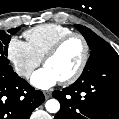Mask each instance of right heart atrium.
I'll list each match as a JSON object with an SVG mask.
<instances>
[{
  "label": "right heart atrium",
  "mask_w": 119,
  "mask_h": 119,
  "mask_svg": "<svg viewBox=\"0 0 119 119\" xmlns=\"http://www.w3.org/2000/svg\"><path fill=\"white\" fill-rule=\"evenodd\" d=\"M7 56L17 75L22 78H29L41 63V59L33 53L28 43L18 37L9 41Z\"/></svg>",
  "instance_id": "d8ad5b80"
}]
</instances>
